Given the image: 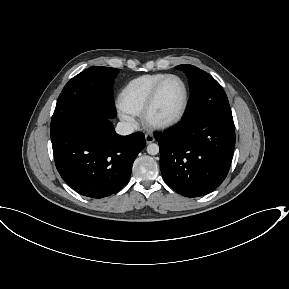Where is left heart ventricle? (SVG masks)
Here are the masks:
<instances>
[{
	"mask_svg": "<svg viewBox=\"0 0 289 289\" xmlns=\"http://www.w3.org/2000/svg\"><path fill=\"white\" fill-rule=\"evenodd\" d=\"M184 96V87L179 80L169 79L166 81L152 110V118L157 121L174 118L182 108Z\"/></svg>",
	"mask_w": 289,
	"mask_h": 289,
	"instance_id": "obj_1",
	"label": "left heart ventricle"
}]
</instances>
